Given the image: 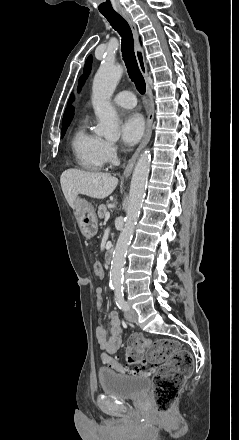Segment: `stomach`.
Here are the masks:
<instances>
[{"mask_svg": "<svg viewBox=\"0 0 239 440\" xmlns=\"http://www.w3.org/2000/svg\"><path fill=\"white\" fill-rule=\"evenodd\" d=\"M74 216L78 222L81 234L91 240L98 232V218L96 216L95 208L84 200V198H76L73 208Z\"/></svg>", "mask_w": 239, "mask_h": 440, "instance_id": "obj_1", "label": "stomach"}]
</instances>
